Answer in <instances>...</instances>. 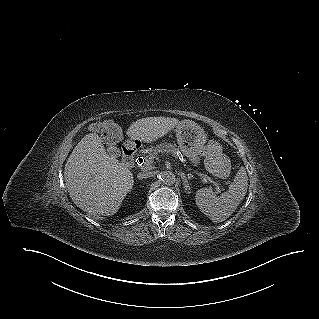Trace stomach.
<instances>
[{"mask_svg": "<svg viewBox=\"0 0 319 319\" xmlns=\"http://www.w3.org/2000/svg\"><path fill=\"white\" fill-rule=\"evenodd\" d=\"M176 137L184 155L194 166H198L200 154L207 140L204 129L195 122L183 121L176 128Z\"/></svg>", "mask_w": 319, "mask_h": 319, "instance_id": "0dacf381", "label": "stomach"}]
</instances>
